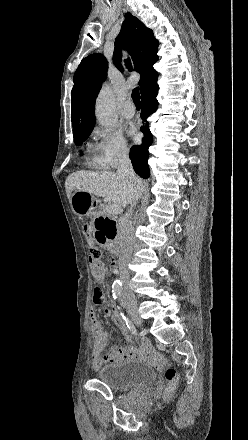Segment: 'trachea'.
<instances>
[{
	"mask_svg": "<svg viewBox=\"0 0 248 440\" xmlns=\"http://www.w3.org/2000/svg\"><path fill=\"white\" fill-rule=\"evenodd\" d=\"M125 63H126L127 68L130 69L131 68V64H130V59L129 58H127L125 60ZM132 99H133V102L136 105V107H139L140 106V94H139V88L138 87L133 89V91H132Z\"/></svg>",
	"mask_w": 248,
	"mask_h": 440,
	"instance_id": "1",
	"label": "trachea"
}]
</instances>
